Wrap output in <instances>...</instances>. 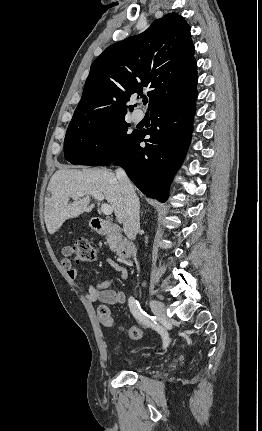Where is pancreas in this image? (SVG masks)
Returning <instances> with one entry per match:
<instances>
[{"instance_id":"pancreas-1","label":"pancreas","mask_w":262,"mask_h":431,"mask_svg":"<svg viewBox=\"0 0 262 431\" xmlns=\"http://www.w3.org/2000/svg\"><path fill=\"white\" fill-rule=\"evenodd\" d=\"M107 241H108V244H109V246H110V249L112 250V251H115L116 250V240H114L111 236H109L108 238H107Z\"/></svg>"}]
</instances>
